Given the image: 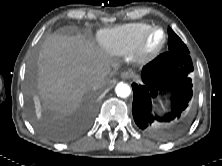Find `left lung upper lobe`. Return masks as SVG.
<instances>
[{
  "label": "left lung upper lobe",
  "mask_w": 222,
  "mask_h": 166,
  "mask_svg": "<svg viewBox=\"0 0 222 166\" xmlns=\"http://www.w3.org/2000/svg\"><path fill=\"white\" fill-rule=\"evenodd\" d=\"M168 51H176L190 54L186 45L182 42V40L173 32L171 28H168Z\"/></svg>",
  "instance_id": "1"
}]
</instances>
